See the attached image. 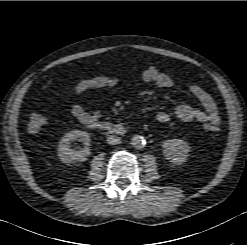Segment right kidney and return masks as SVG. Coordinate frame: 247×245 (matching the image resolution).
Returning a JSON list of instances; mask_svg holds the SVG:
<instances>
[{"label": "right kidney", "mask_w": 247, "mask_h": 245, "mask_svg": "<svg viewBox=\"0 0 247 245\" xmlns=\"http://www.w3.org/2000/svg\"><path fill=\"white\" fill-rule=\"evenodd\" d=\"M79 140L84 144L81 150H73L70 147L72 141ZM90 135L86 131L72 130L66 133L60 140L58 156L63 163H75L85 161L90 152Z\"/></svg>", "instance_id": "obj_1"}]
</instances>
